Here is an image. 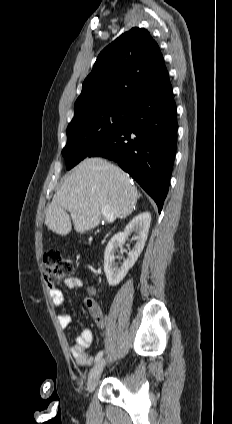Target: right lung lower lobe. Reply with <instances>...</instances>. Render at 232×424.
<instances>
[{"instance_id": "obj_1", "label": "right lung lower lobe", "mask_w": 232, "mask_h": 424, "mask_svg": "<svg viewBox=\"0 0 232 424\" xmlns=\"http://www.w3.org/2000/svg\"><path fill=\"white\" fill-rule=\"evenodd\" d=\"M177 143V113L169 75L131 106L127 123L88 156L116 161L154 199L161 212Z\"/></svg>"}]
</instances>
